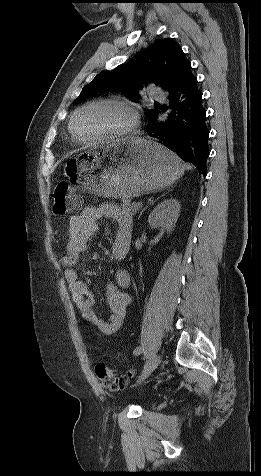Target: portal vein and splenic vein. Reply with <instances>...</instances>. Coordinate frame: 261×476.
<instances>
[{
	"label": "portal vein and splenic vein",
	"instance_id": "18ae733b",
	"mask_svg": "<svg viewBox=\"0 0 261 476\" xmlns=\"http://www.w3.org/2000/svg\"><path fill=\"white\" fill-rule=\"evenodd\" d=\"M142 205H143L142 202H138V206L142 207Z\"/></svg>",
	"mask_w": 261,
	"mask_h": 476
}]
</instances>
